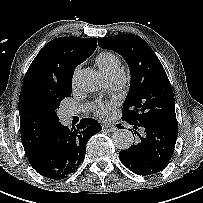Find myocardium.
<instances>
[{"label": "myocardium", "mask_w": 203, "mask_h": 203, "mask_svg": "<svg viewBox=\"0 0 203 203\" xmlns=\"http://www.w3.org/2000/svg\"><path fill=\"white\" fill-rule=\"evenodd\" d=\"M109 79L113 82L115 87H121L125 83V76L122 73H117L109 76Z\"/></svg>", "instance_id": "1"}]
</instances>
